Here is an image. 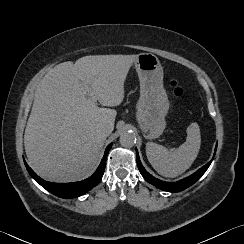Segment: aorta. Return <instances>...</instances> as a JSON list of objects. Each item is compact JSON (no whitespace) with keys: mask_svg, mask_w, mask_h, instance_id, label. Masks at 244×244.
Here are the masks:
<instances>
[{"mask_svg":"<svg viewBox=\"0 0 244 244\" xmlns=\"http://www.w3.org/2000/svg\"><path fill=\"white\" fill-rule=\"evenodd\" d=\"M119 142L123 147L131 148L136 143V134L131 130H125L121 133Z\"/></svg>","mask_w":244,"mask_h":244,"instance_id":"obj_1","label":"aorta"}]
</instances>
